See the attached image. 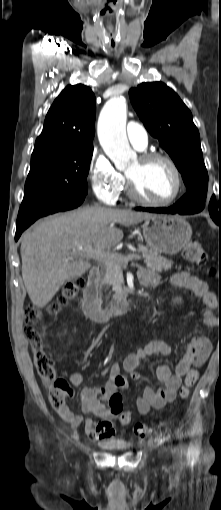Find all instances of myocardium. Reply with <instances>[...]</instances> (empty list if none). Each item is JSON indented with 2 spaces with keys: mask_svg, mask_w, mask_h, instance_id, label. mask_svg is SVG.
<instances>
[{
  "mask_svg": "<svg viewBox=\"0 0 221 510\" xmlns=\"http://www.w3.org/2000/svg\"><path fill=\"white\" fill-rule=\"evenodd\" d=\"M139 160L142 163H148L154 160H162L166 162L171 168L175 177V190L173 194L166 200L162 201L149 200L140 195V193L137 190L135 182L127 175V187L129 197L139 204L150 207H166L174 203L180 197L184 186L182 173L176 162L170 156L161 152H145L139 157Z\"/></svg>",
  "mask_w": 221,
  "mask_h": 510,
  "instance_id": "obj_1",
  "label": "myocardium"
}]
</instances>
